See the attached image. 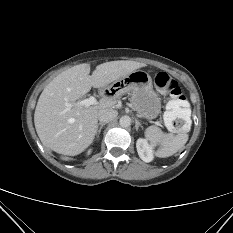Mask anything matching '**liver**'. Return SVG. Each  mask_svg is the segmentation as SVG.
I'll return each instance as SVG.
<instances>
[{"mask_svg": "<svg viewBox=\"0 0 233 233\" xmlns=\"http://www.w3.org/2000/svg\"><path fill=\"white\" fill-rule=\"evenodd\" d=\"M146 66L135 61H110L100 64L90 76V64L73 66L56 76L42 91L34 113L36 132L42 144L51 150L75 156L88 148L98 130V113L111 109L115 97L100 99L97 105H73L92 87L104 88L130 72ZM77 101V102H76Z\"/></svg>", "mask_w": 233, "mask_h": 233, "instance_id": "1", "label": "liver"}]
</instances>
